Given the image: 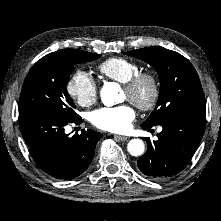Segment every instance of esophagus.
Listing matches in <instances>:
<instances>
[{
	"label": "esophagus",
	"mask_w": 221,
	"mask_h": 221,
	"mask_svg": "<svg viewBox=\"0 0 221 221\" xmlns=\"http://www.w3.org/2000/svg\"><path fill=\"white\" fill-rule=\"evenodd\" d=\"M114 138L120 141H126L129 139L127 136H121V135H114Z\"/></svg>",
	"instance_id": "obj_1"
}]
</instances>
